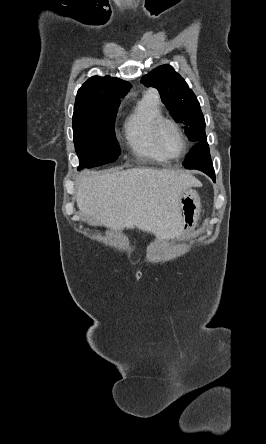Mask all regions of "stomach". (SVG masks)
I'll return each instance as SVG.
<instances>
[{"instance_id": "obj_1", "label": "stomach", "mask_w": 266, "mask_h": 444, "mask_svg": "<svg viewBox=\"0 0 266 444\" xmlns=\"http://www.w3.org/2000/svg\"><path fill=\"white\" fill-rule=\"evenodd\" d=\"M179 222L181 234L190 232L198 222L201 203L198 193L191 189H185L178 201Z\"/></svg>"}]
</instances>
